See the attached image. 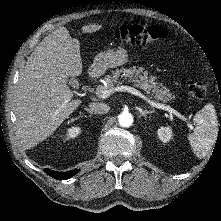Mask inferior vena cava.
I'll return each mask as SVG.
<instances>
[{
	"instance_id": "obj_1",
	"label": "inferior vena cava",
	"mask_w": 221,
	"mask_h": 221,
	"mask_svg": "<svg viewBox=\"0 0 221 221\" xmlns=\"http://www.w3.org/2000/svg\"><path fill=\"white\" fill-rule=\"evenodd\" d=\"M89 109L96 114H105L109 111L110 107L105 103L95 102L89 104Z\"/></svg>"
}]
</instances>
